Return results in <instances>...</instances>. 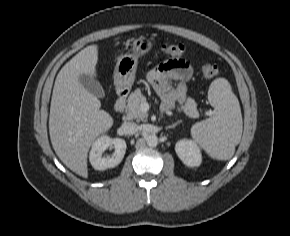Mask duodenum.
Instances as JSON below:
<instances>
[{"mask_svg": "<svg viewBox=\"0 0 290 236\" xmlns=\"http://www.w3.org/2000/svg\"><path fill=\"white\" fill-rule=\"evenodd\" d=\"M127 95H128V91L125 89H120L118 91L117 99L113 107L115 113H121L124 110Z\"/></svg>", "mask_w": 290, "mask_h": 236, "instance_id": "410a0bca", "label": "duodenum"}]
</instances>
